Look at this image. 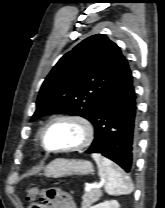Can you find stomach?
<instances>
[{
  "label": "stomach",
  "instance_id": "0dacf381",
  "mask_svg": "<svg viewBox=\"0 0 165 208\" xmlns=\"http://www.w3.org/2000/svg\"><path fill=\"white\" fill-rule=\"evenodd\" d=\"M93 171L94 168L90 161L57 158L46 166L44 175L46 177L60 178L70 175H88Z\"/></svg>",
  "mask_w": 165,
  "mask_h": 208
}]
</instances>
